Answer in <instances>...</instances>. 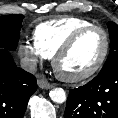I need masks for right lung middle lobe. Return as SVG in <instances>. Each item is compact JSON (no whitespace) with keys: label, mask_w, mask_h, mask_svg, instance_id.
<instances>
[{"label":"right lung middle lobe","mask_w":118,"mask_h":118,"mask_svg":"<svg viewBox=\"0 0 118 118\" xmlns=\"http://www.w3.org/2000/svg\"><path fill=\"white\" fill-rule=\"evenodd\" d=\"M23 18V15L0 16V48H17Z\"/></svg>","instance_id":"obj_1"}]
</instances>
